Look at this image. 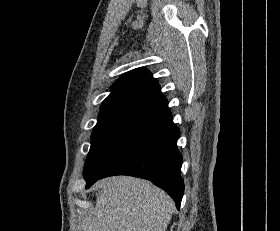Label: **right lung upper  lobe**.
Returning <instances> with one entry per match:
<instances>
[{
	"label": "right lung upper lobe",
	"mask_w": 280,
	"mask_h": 231,
	"mask_svg": "<svg viewBox=\"0 0 280 231\" xmlns=\"http://www.w3.org/2000/svg\"><path fill=\"white\" fill-rule=\"evenodd\" d=\"M100 110L98 120H126L134 125L170 111L158 82L143 68L123 74Z\"/></svg>",
	"instance_id": "obj_1"
}]
</instances>
